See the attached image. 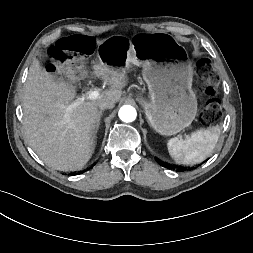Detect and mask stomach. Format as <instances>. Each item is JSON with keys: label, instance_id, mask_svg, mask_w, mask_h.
Segmentation results:
<instances>
[{"label": "stomach", "instance_id": "1", "mask_svg": "<svg viewBox=\"0 0 253 253\" xmlns=\"http://www.w3.org/2000/svg\"><path fill=\"white\" fill-rule=\"evenodd\" d=\"M100 64L127 71L142 67L149 99L138 97L150 126L159 134L175 135L194 120L197 98L192 90L193 67L185 49L169 34H140L133 39L114 35L97 47Z\"/></svg>", "mask_w": 253, "mask_h": 253}]
</instances>
